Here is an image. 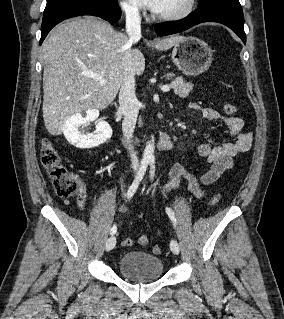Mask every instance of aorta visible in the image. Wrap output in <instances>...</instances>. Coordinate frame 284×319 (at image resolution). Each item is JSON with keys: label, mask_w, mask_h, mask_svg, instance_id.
<instances>
[{"label": "aorta", "mask_w": 284, "mask_h": 319, "mask_svg": "<svg viewBox=\"0 0 284 319\" xmlns=\"http://www.w3.org/2000/svg\"><path fill=\"white\" fill-rule=\"evenodd\" d=\"M143 158L146 160H154V146L152 141H148L143 153Z\"/></svg>", "instance_id": "obj_1"}]
</instances>
